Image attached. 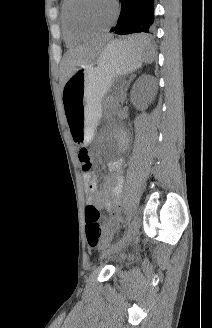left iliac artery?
<instances>
[{
  "instance_id": "44dca946",
  "label": "left iliac artery",
  "mask_w": 212,
  "mask_h": 328,
  "mask_svg": "<svg viewBox=\"0 0 212 328\" xmlns=\"http://www.w3.org/2000/svg\"><path fill=\"white\" fill-rule=\"evenodd\" d=\"M131 217H132V213L129 212V213L127 214V218H126V221H125L124 228H126V226L128 225V223H129Z\"/></svg>"
}]
</instances>
